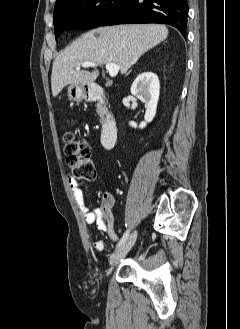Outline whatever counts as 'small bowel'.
<instances>
[{
  "label": "small bowel",
  "instance_id": "1",
  "mask_svg": "<svg viewBox=\"0 0 240 329\" xmlns=\"http://www.w3.org/2000/svg\"><path fill=\"white\" fill-rule=\"evenodd\" d=\"M68 184L75 201L82 211V215L86 224L96 225L100 231L106 232L112 241H118V235L114 229V218L110 210L112 206V200L106 199L101 206L90 209L85 204L81 185L71 177H68ZM93 248L96 251H102L104 249L103 241L94 240Z\"/></svg>",
  "mask_w": 240,
  "mask_h": 329
}]
</instances>
